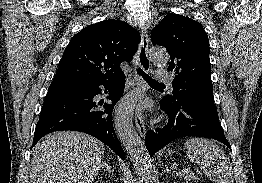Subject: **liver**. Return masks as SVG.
<instances>
[{
	"label": "liver",
	"mask_w": 262,
	"mask_h": 183,
	"mask_svg": "<svg viewBox=\"0 0 262 183\" xmlns=\"http://www.w3.org/2000/svg\"><path fill=\"white\" fill-rule=\"evenodd\" d=\"M105 145L88 134L54 132L35 147L29 183H92Z\"/></svg>",
	"instance_id": "6515ba94"
}]
</instances>
